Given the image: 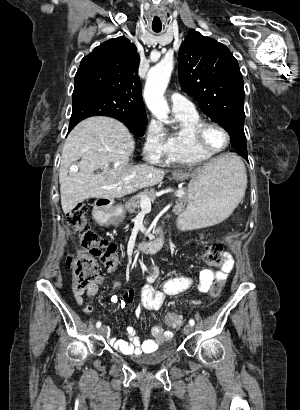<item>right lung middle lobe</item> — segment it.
I'll list each match as a JSON object with an SVG mask.
<instances>
[{"mask_svg": "<svg viewBox=\"0 0 300 410\" xmlns=\"http://www.w3.org/2000/svg\"><path fill=\"white\" fill-rule=\"evenodd\" d=\"M72 101L73 109L69 131L81 120L95 115H106L116 118L137 135H142L145 130L147 118H127L115 114V103L112 101V98L97 87L90 85L75 86Z\"/></svg>", "mask_w": 300, "mask_h": 410, "instance_id": "dd1d6c3e", "label": "right lung middle lobe"}]
</instances>
